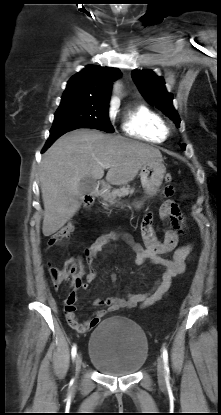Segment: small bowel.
Returning a JSON list of instances; mask_svg holds the SVG:
<instances>
[{
  "mask_svg": "<svg viewBox=\"0 0 221 415\" xmlns=\"http://www.w3.org/2000/svg\"><path fill=\"white\" fill-rule=\"evenodd\" d=\"M163 195L164 197H175L176 190L172 187L164 188ZM164 209L168 211L167 218L169 224H173L174 228L176 227V230H180L182 228V217L177 204L171 200L166 201L160 210L162 218H165L163 213ZM141 230L145 242L144 248L133 242L126 233L104 234L98 237L95 242L86 249L85 256L87 263L90 264L92 259L110 242L121 239L127 243L135 254V261L137 264L148 261L156 267H162L164 269L163 273L158 277L152 289L147 293H128L125 297H108L95 300L94 305L105 306V308L97 310L90 319L84 322H79L76 318V308L74 304L76 301V291L80 288L86 289L88 285L82 283L73 287L72 292L64 300V312L69 325L76 331L81 333L86 332L97 326L104 316L121 308H134L138 305L141 308H146L153 305L169 292L173 279L185 271L187 261L192 252V246L187 244L178 247L179 238L176 230L167 229L164 233L163 240L159 241L154 233L153 216L151 213L144 215L141 223ZM170 252H174L172 258L166 259L162 257L163 254ZM95 277L96 274L91 272L87 275V280L92 281ZM111 279L113 282H116L117 276L115 273L111 275Z\"/></svg>",
  "mask_w": 221,
  "mask_h": 415,
  "instance_id": "1",
  "label": "small bowel"
}]
</instances>
